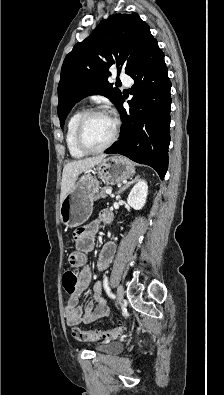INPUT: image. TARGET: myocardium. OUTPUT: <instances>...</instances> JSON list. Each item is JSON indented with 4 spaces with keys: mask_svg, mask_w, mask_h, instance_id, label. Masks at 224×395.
I'll list each match as a JSON object with an SVG mask.
<instances>
[{
    "mask_svg": "<svg viewBox=\"0 0 224 395\" xmlns=\"http://www.w3.org/2000/svg\"><path fill=\"white\" fill-rule=\"evenodd\" d=\"M97 114H105L108 115L114 123L113 133L110 139L99 148H91L89 147L84 140V127L88 119ZM120 129V123L116 117H114L111 113H109L106 109L100 107H94L86 110L82 116L80 117L77 126H76V143L77 146L86 154H97L107 150L111 147L118 138Z\"/></svg>",
    "mask_w": 224,
    "mask_h": 395,
    "instance_id": "obj_1",
    "label": "myocardium"
}]
</instances>
